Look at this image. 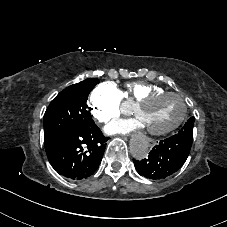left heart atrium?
I'll use <instances>...</instances> for the list:
<instances>
[{
	"label": "left heart atrium",
	"mask_w": 227,
	"mask_h": 227,
	"mask_svg": "<svg viewBox=\"0 0 227 227\" xmlns=\"http://www.w3.org/2000/svg\"><path fill=\"white\" fill-rule=\"evenodd\" d=\"M138 128L141 126L136 120H118L111 122L105 131L109 134H129Z\"/></svg>",
	"instance_id": "39dd6f15"
}]
</instances>
